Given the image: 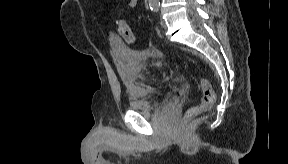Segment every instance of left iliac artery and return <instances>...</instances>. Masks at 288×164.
<instances>
[{
  "label": "left iliac artery",
  "mask_w": 288,
  "mask_h": 164,
  "mask_svg": "<svg viewBox=\"0 0 288 164\" xmlns=\"http://www.w3.org/2000/svg\"><path fill=\"white\" fill-rule=\"evenodd\" d=\"M149 3V7L151 10L157 12L159 10L160 7V2L159 0H148Z\"/></svg>",
  "instance_id": "left-iliac-artery-1"
}]
</instances>
